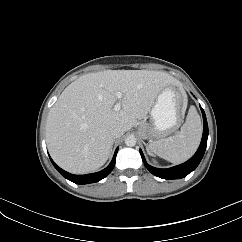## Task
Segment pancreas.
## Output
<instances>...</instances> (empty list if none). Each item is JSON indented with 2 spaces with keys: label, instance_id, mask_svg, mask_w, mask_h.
<instances>
[{
  "label": "pancreas",
  "instance_id": "pancreas-1",
  "mask_svg": "<svg viewBox=\"0 0 242 242\" xmlns=\"http://www.w3.org/2000/svg\"><path fill=\"white\" fill-rule=\"evenodd\" d=\"M146 127H147V126L142 125V126H141V129L144 130V129H146Z\"/></svg>",
  "mask_w": 242,
  "mask_h": 242
}]
</instances>
